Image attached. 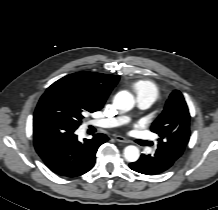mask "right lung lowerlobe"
<instances>
[{"instance_id":"1","label":"right lung lower lobe","mask_w":218,"mask_h":210,"mask_svg":"<svg viewBox=\"0 0 218 210\" xmlns=\"http://www.w3.org/2000/svg\"><path fill=\"white\" fill-rule=\"evenodd\" d=\"M76 128L57 118H34L33 140L36 152L54 173L76 177L91 170L99 146L108 140L102 133L83 142L77 140Z\"/></svg>"}]
</instances>
